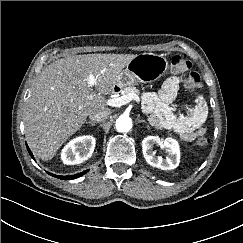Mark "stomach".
Listing matches in <instances>:
<instances>
[{"mask_svg": "<svg viewBox=\"0 0 243 243\" xmlns=\"http://www.w3.org/2000/svg\"><path fill=\"white\" fill-rule=\"evenodd\" d=\"M168 68V61L162 54L142 53L135 55L125 70L117 77V84L123 88L138 83H151L159 79Z\"/></svg>", "mask_w": 243, "mask_h": 243, "instance_id": "1", "label": "stomach"}]
</instances>
